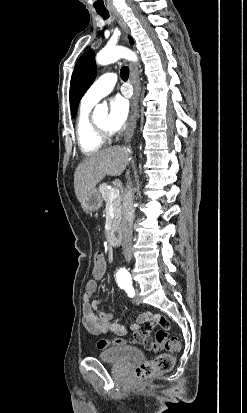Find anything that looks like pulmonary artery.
Returning <instances> with one entry per match:
<instances>
[{
	"mask_svg": "<svg viewBox=\"0 0 247 413\" xmlns=\"http://www.w3.org/2000/svg\"><path fill=\"white\" fill-rule=\"evenodd\" d=\"M117 80L115 73H105L99 76L88 88L83 96V102L86 106H91L106 96L114 87Z\"/></svg>",
	"mask_w": 247,
	"mask_h": 413,
	"instance_id": "1",
	"label": "pulmonary artery"
}]
</instances>
